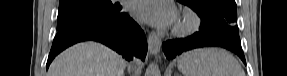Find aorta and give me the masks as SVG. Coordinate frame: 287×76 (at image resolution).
Masks as SVG:
<instances>
[{"label":"aorta","mask_w":287,"mask_h":76,"mask_svg":"<svg viewBox=\"0 0 287 76\" xmlns=\"http://www.w3.org/2000/svg\"><path fill=\"white\" fill-rule=\"evenodd\" d=\"M145 76H161L158 65L156 63H150L146 69Z\"/></svg>","instance_id":"762f6f07"}]
</instances>
